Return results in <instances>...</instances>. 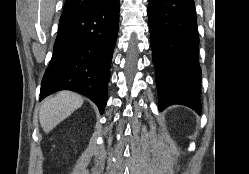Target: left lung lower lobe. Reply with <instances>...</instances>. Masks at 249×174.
I'll list each match as a JSON object with an SVG mask.
<instances>
[{"mask_svg": "<svg viewBox=\"0 0 249 174\" xmlns=\"http://www.w3.org/2000/svg\"><path fill=\"white\" fill-rule=\"evenodd\" d=\"M148 16L160 111L182 104L200 114L201 68L194 0H149Z\"/></svg>", "mask_w": 249, "mask_h": 174, "instance_id": "1", "label": "left lung lower lobe"}]
</instances>
